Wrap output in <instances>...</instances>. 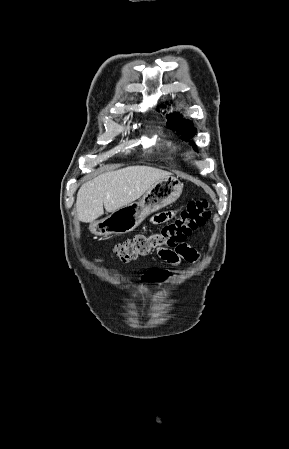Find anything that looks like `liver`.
Here are the masks:
<instances>
[{"instance_id":"1","label":"liver","mask_w":289,"mask_h":449,"mask_svg":"<svg viewBox=\"0 0 289 449\" xmlns=\"http://www.w3.org/2000/svg\"><path fill=\"white\" fill-rule=\"evenodd\" d=\"M171 173L148 166H131L99 175L84 183L76 199L79 221L92 223L106 212L133 203Z\"/></svg>"}]
</instances>
